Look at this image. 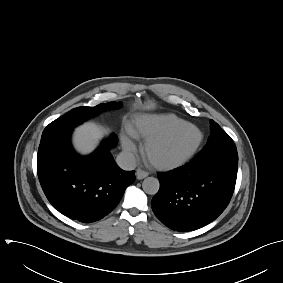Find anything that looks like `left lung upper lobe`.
Listing matches in <instances>:
<instances>
[{
  "label": "left lung upper lobe",
  "mask_w": 283,
  "mask_h": 283,
  "mask_svg": "<svg viewBox=\"0 0 283 283\" xmlns=\"http://www.w3.org/2000/svg\"><path fill=\"white\" fill-rule=\"evenodd\" d=\"M210 131L207 144L191 162L219 163L238 167V154L233 140L213 120H210Z\"/></svg>",
  "instance_id": "obj_1"
}]
</instances>
